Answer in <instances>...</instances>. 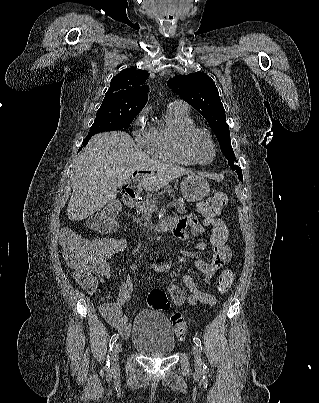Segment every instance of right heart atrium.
Masks as SVG:
<instances>
[{
    "label": "right heart atrium",
    "mask_w": 319,
    "mask_h": 403,
    "mask_svg": "<svg viewBox=\"0 0 319 403\" xmlns=\"http://www.w3.org/2000/svg\"><path fill=\"white\" fill-rule=\"evenodd\" d=\"M148 114V108L142 109L132 123L135 142L145 150H150L153 142V127L148 122Z\"/></svg>",
    "instance_id": "obj_1"
}]
</instances>
